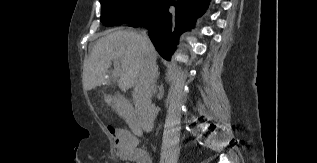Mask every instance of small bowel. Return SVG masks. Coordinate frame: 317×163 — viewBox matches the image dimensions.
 I'll return each instance as SVG.
<instances>
[{
    "mask_svg": "<svg viewBox=\"0 0 317 163\" xmlns=\"http://www.w3.org/2000/svg\"><path fill=\"white\" fill-rule=\"evenodd\" d=\"M117 139L122 144V158L126 163H152L149 154L146 152L140 153L135 149L131 136L120 133Z\"/></svg>",
    "mask_w": 317,
    "mask_h": 163,
    "instance_id": "1",
    "label": "small bowel"
}]
</instances>
